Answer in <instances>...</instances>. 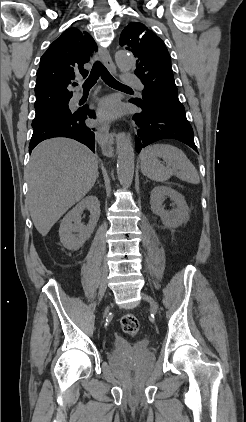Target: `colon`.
Listing matches in <instances>:
<instances>
[{
	"label": "colon",
	"instance_id": "5ec220e1",
	"mask_svg": "<svg viewBox=\"0 0 246 422\" xmlns=\"http://www.w3.org/2000/svg\"><path fill=\"white\" fill-rule=\"evenodd\" d=\"M120 325L124 333L128 335H136L140 328L138 318L132 314L124 315L120 320Z\"/></svg>",
	"mask_w": 246,
	"mask_h": 422
}]
</instances>
